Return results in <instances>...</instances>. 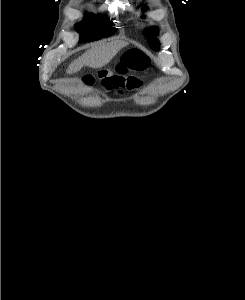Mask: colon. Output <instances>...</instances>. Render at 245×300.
I'll return each mask as SVG.
<instances>
[{
  "label": "colon",
  "instance_id": "obj_1",
  "mask_svg": "<svg viewBox=\"0 0 245 300\" xmlns=\"http://www.w3.org/2000/svg\"><path fill=\"white\" fill-rule=\"evenodd\" d=\"M150 67V60L148 56L139 50L128 52L123 57L120 64L116 67V73L119 75H126L131 71H144ZM102 74H99L101 76ZM95 78L92 75H86L83 78V83L90 86L94 83Z\"/></svg>",
  "mask_w": 245,
  "mask_h": 300
}]
</instances>
